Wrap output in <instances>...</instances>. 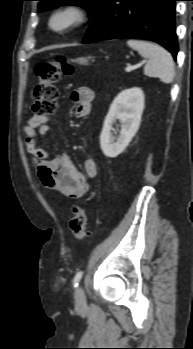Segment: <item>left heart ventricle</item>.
I'll return each mask as SVG.
<instances>
[{"label": "left heart ventricle", "instance_id": "left-heart-ventricle-1", "mask_svg": "<svg viewBox=\"0 0 193 349\" xmlns=\"http://www.w3.org/2000/svg\"><path fill=\"white\" fill-rule=\"evenodd\" d=\"M69 21V17L66 15H60L58 17L55 18L53 24L55 27H62L65 24H67Z\"/></svg>", "mask_w": 193, "mask_h": 349}]
</instances>
